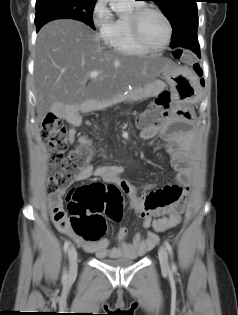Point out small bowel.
<instances>
[{
    "label": "small bowel",
    "instance_id": "c3829d8e",
    "mask_svg": "<svg viewBox=\"0 0 238 315\" xmlns=\"http://www.w3.org/2000/svg\"><path fill=\"white\" fill-rule=\"evenodd\" d=\"M158 132L165 141L170 142L171 167L176 171L175 180L177 184H171L150 193L141 192L122 177L124 169L118 164H106L97 167L88 164L76 176L75 180L84 182L93 177H98L105 182L117 184L120 190L128 196L130 208L140 218L142 228L148 229L152 224L153 218H157V216H171L173 221L169 223L166 229L168 230L179 224L181 220L180 214L188 197L191 183L190 137L188 135L176 136L165 127L142 130L140 137L143 140H149ZM74 139L75 131L72 130L71 141H74ZM81 141L82 139L78 140V143ZM63 194V191H58L50 194L48 197L51 219L61 233L72 237L85 251L95 253L99 258H138L157 244L159 238L156 232L153 231L138 232L129 241L127 239L128 230L125 227L118 229V244L115 247H110L106 238H101L94 242L84 240L77 233H73L70 228L68 223L70 216L62 209Z\"/></svg>",
    "mask_w": 238,
    "mask_h": 315
}]
</instances>
